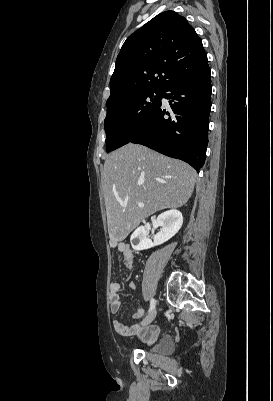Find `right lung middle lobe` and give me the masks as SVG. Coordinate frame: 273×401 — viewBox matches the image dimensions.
Listing matches in <instances>:
<instances>
[{
    "label": "right lung middle lobe",
    "mask_w": 273,
    "mask_h": 401,
    "mask_svg": "<svg viewBox=\"0 0 273 401\" xmlns=\"http://www.w3.org/2000/svg\"><path fill=\"white\" fill-rule=\"evenodd\" d=\"M161 98L162 90H147L107 106L104 121L106 151H113L129 143L159 107Z\"/></svg>",
    "instance_id": "1"
}]
</instances>
